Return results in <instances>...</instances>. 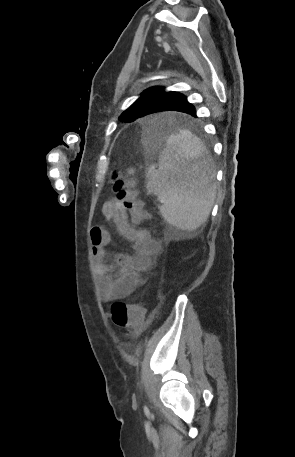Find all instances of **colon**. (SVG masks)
Listing matches in <instances>:
<instances>
[{"label": "colon", "instance_id": "colon-1", "mask_svg": "<svg viewBox=\"0 0 295 457\" xmlns=\"http://www.w3.org/2000/svg\"><path fill=\"white\" fill-rule=\"evenodd\" d=\"M112 183L116 198L123 209L131 215L133 222L139 224L146 220L147 215L134 190L132 170L114 171ZM111 318L116 326L126 329L128 334H134L144 325L145 311L140 304L115 302L111 306Z\"/></svg>", "mask_w": 295, "mask_h": 457}]
</instances>
